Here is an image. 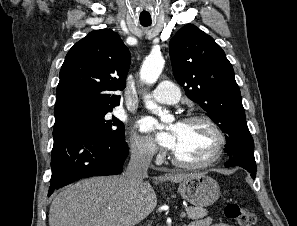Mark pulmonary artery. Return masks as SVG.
Segmentation results:
<instances>
[{"label": "pulmonary artery", "mask_w": 297, "mask_h": 226, "mask_svg": "<svg viewBox=\"0 0 297 226\" xmlns=\"http://www.w3.org/2000/svg\"><path fill=\"white\" fill-rule=\"evenodd\" d=\"M180 96L179 88L170 81H161L151 94L152 99L161 104H176Z\"/></svg>", "instance_id": "obj_1"}]
</instances>
